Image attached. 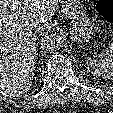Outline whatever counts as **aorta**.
Masks as SVG:
<instances>
[{
	"instance_id": "762f6f07",
	"label": "aorta",
	"mask_w": 113,
	"mask_h": 113,
	"mask_svg": "<svg viewBox=\"0 0 113 113\" xmlns=\"http://www.w3.org/2000/svg\"><path fill=\"white\" fill-rule=\"evenodd\" d=\"M63 39L60 35L51 34L43 40V47L49 53H54L61 49Z\"/></svg>"
}]
</instances>
